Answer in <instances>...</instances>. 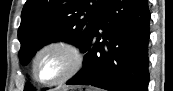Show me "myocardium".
Returning <instances> with one entry per match:
<instances>
[{
	"label": "myocardium",
	"instance_id": "1",
	"mask_svg": "<svg viewBox=\"0 0 173 91\" xmlns=\"http://www.w3.org/2000/svg\"><path fill=\"white\" fill-rule=\"evenodd\" d=\"M51 50L63 52L68 59V67L66 71L59 76L48 80H42L37 72L38 62L43 54ZM84 60V53L76 43L66 39L52 40L44 44L36 52L32 63V74L34 79L40 84L45 86H55L75 76L82 68Z\"/></svg>",
	"mask_w": 173,
	"mask_h": 91
}]
</instances>
